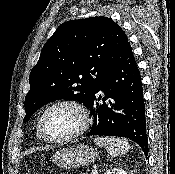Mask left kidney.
Segmentation results:
<instances>
[{"mask_svg":"<svg viewBox=\"0 0 175 174\" xmlns=\"http://www.w3.org/2000/svg\"><path fill=\"white\" fill-rule=\"evenodd\" d=\"M104 174H127V172L124 169L114 168L106 171Z\"/></svg>","mask_w":175,"mask_h":174,"instance_id":"5707ae66","label":"left kidney"}]
</instances>
